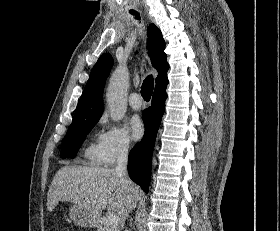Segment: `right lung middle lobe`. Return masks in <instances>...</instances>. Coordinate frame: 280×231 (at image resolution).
I'll list each match as a JSON object with an SVG mask.
<instances>
[{
  "instance_id": "right-lung-middle-lobe-1",
  "label": "right lung middle lobe",
  "mask_w": 280,
  "mask_h": 231,
  "mask_svg": "<svg viewBox=\"0 0 280 231\" xmlns=\"http://www.w3.org/2000/svg\"><path fill=\"white\" fill-rule=\"evenodd\" d=\"M98 120L87 121L70 126L61 147V158H74L83 143L86 135L95 126Z\"/></svg>"
}]
</instances>
